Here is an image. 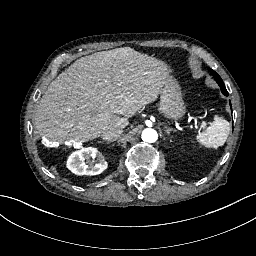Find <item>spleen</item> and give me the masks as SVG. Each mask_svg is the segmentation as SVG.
<instances>
[{
  "instance_id": "3e777b00",
  "label": "spleen",
  "mask_w": 256,
  "mask_h": 256,
  "mask_svg": "<svg viewBox=\"0 0 256 256\" xmlns=\"http://www.w3.org/2000/svg\"><path fill=\"white\" fill-rule=\"evenodd\" d=\"M230 133V124L224 116H216L213 123L204 131L199 132L195 139H190L192 146L198 144L199 147L208 150H218L223 146Z\"/></svg>"
}]
</instances>
